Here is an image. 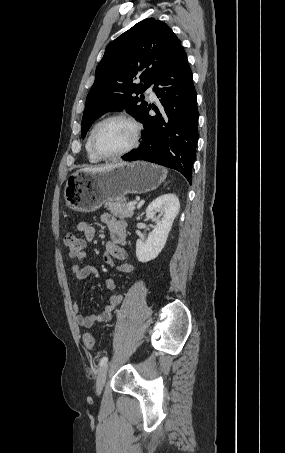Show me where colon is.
Masks as SVG:
<instances>
[{
  "label": "colon",
  "mask_w": 285,
  "mask_h": 453,
  "mask_svg": "<svg viewBox=\"0 0 285 453\" xmlns=\"http://www.w3.org/2000/svg\"><path fill=\"white\" fill-rule=\"evenodd\" d=\"M63 242L67 249L68 256L71 258H77L85 247L84 239L75 233L66 234ZM83 345L87 350H93L95 348V339L92 334L85 333L83 335Z\"/></svg>",
  "instance_id": "obj_1"
}]
</instances>
